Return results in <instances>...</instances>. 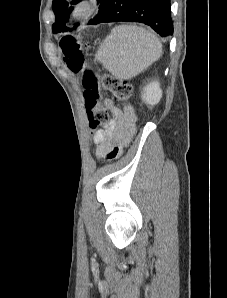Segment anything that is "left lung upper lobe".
Returning a JSON list of instances; mask_svg holds the SVG:
<instances>
[{"label":"left lung upper lobe","mask_w":227,"mask_h":298,"mask_svg":"<svg viewBox=\"0 0 227 298\" xmlns=\"http://www.w3.org/2000/svg\"><path fill=\"white\" fill-rule=\"evenodd\" d=\"M82 0H53L52 9L55 13V21L56 23L53 24L52 30L53 33H59L62 31H71L67 27V20L69 19V14L72 11V5L77 4ZM100 3L99 13L93 19L89 21V24L95 25L98 23L100 16L104 12L108 0H97ZM78 24L75 25L77 27Z\"/></svg>","instance_id":"left-lung-upper-lobe-1"}]
</instances>
